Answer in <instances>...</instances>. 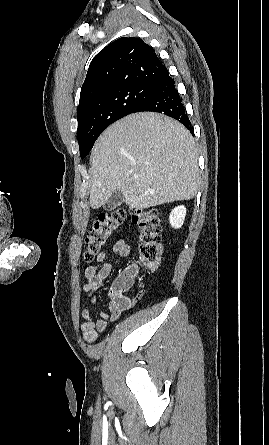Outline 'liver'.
Here are the masks:
<instances>
[{
  "instance_id": "1",
  "label": "liver",
  "mask_w": 269,
  "mask_h": 445,
  "mask_svg": "<svg viewBox=\"0 0 269 445\" xmlns=\"http://www.w3.org/2000/svg\"><path fill=\"white\" fill-rule=\"evenodd\" d=\"M89 203L98 209L120 190L125 203L146 209L192 199L199 188L194 138L178 121L153 112L109 126L91 152Z\"/></svg>"
}]
</instances>
